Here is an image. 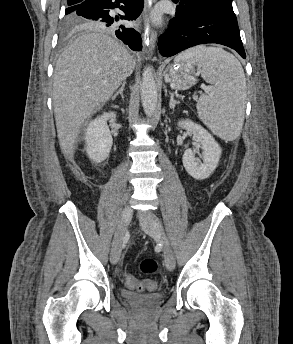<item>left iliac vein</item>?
<instances>
[{
    "label": "left iliac vein",
    "mask_w": 293,
    "mask_h": 344,
    "mask_svg": "<svg viewBox=\"0 0 293 344\" xmlns=\"http://www.w3.org/2000/svg\"><path fill=\"white\" fill-rule=\"evenodd\" d=\"M139 219L144 232L162 242L166 268L169 271H173L175 268V257L170 243L160 226L159 218L154 213L147 211L140 214Z\"/></svg>",
    "instance_id": "4c4485c4"
}]
</instances>
